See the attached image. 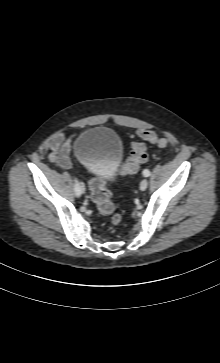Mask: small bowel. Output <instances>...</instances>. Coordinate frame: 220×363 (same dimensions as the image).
<instances>
[{"mask_svg": "<svg viewBox=\"0 0 220 363\" xmlns=\"http://www.w3.org/2000/svg\"><path fill=\"white\" fill-rule=\"evenodd\" d=\"M70 142L64 134L53 137L50 144L49 158L52 163L63 169H70L75 165V160L70 155Z\"/></svg>", "mask_w": 220, "mask_h": 363, "instance_id": "small-bowel-1", "label": "small bowel"}]
</instances>
